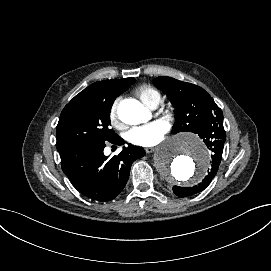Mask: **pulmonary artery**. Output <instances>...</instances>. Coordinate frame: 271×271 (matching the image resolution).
Returning a JSON list of instances; mask_svg holds the SVG:
<instances>
[{"instance_id":"1","label":"pulmonary artery","mask_w":271,"mask_h":271,"mask_svg":"<svg viewBox=\"0 0 271 271\" xmlns=\"http://www.w3.org/2000/svg\"><path fill=\"white\" fill-rule=\"evenodd\" d=\"M158 105H159V100H158V99H154V100L150 103L149 107L152 108V109H155V108L158 107Z\"/></svg>"}]
</instances>
